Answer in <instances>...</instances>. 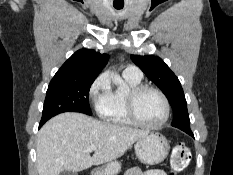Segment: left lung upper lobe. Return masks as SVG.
<instances>
[{"label": "left lung upper lobe", "instance_id": "obj_1", "mask_svg": "<svg viewBox=\"0 0 233 175\" xmlns=\"http://www.w3.org/2000/svg\"><path fill=\"white\" fill-rule=\"evenodd\" d=\"M131 59L168 98L173 108L172 126L191 132L186 99L175 74L159 57L131 55Z\"/></svg>", "mask_w": 233, "mask_h": 175}]
</instances>
